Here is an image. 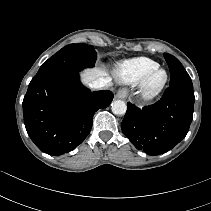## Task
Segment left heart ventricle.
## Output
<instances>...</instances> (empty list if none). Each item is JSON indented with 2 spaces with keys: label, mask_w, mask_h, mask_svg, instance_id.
<instances>
[{
  "label": "left heart ventricle",
  "mask_w": 211,
  "mask_h": 211,
  "mask_svg": "<svg viewBox=\"0 0 211 211\" xmlns=\"http://www.w3.org/2000/svg\"><path fill=\"white\" fill-rule=\"evenodd\" d=\"M163 78H164V73H163V72H160V73H158V74L154 77L153 83H154V84H158V83H160V82L163 80Z\"/></svg>",
  "instance_id": "obj_1"
}]
</instances>
